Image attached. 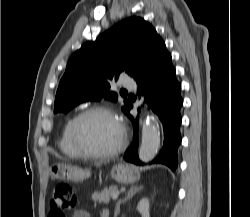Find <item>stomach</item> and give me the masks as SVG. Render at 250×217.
Here are the masks:
<instances>
[{"instance_id": "obj_1", "label": "stomach", "mask_w": 250, "mask_h": 217, "mask_svg": "<svg viewBox=\"0 0 250 217\" xmlns=\"http://www.w3.org/2000/svg\"><path fill=\"white\" fill-rule=\"evenodd\" d=\"M51 174L55 179L82 181L90 176V172L68 164L58 163L51 167ZM111 176L119 183H134L140 178V174L132 165L117 164L111 170Z\"/></svg>"}]
</instances>
